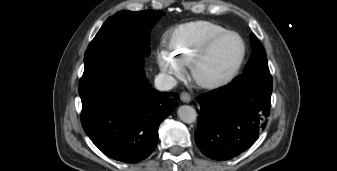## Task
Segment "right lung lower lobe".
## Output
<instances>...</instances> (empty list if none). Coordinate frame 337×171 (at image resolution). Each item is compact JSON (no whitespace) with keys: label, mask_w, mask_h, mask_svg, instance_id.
I'll list each match as a JSON object with an SVG mask.
<instances>
[{"label":"right lung lower lobe","mask_w":337,"mask_h":171,"mask_svg":"<svg viewBox=\"0 0 337 171\" xmlns=\"http://www.w3.org/2000/svg\"><path fill=\"white\" fill-rule=\"evenodd\" d=\"M142 61L138 52L103 51L85 62L79 83L85 132L105 155L125 163L142 161L152 153L159 125L179 97L151 88Z\"/></svg>","instance_id":"obj_1"}]
</instances>
